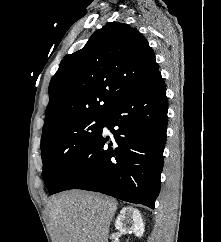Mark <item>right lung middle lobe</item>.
Listing matches in <instances>:
<instances>
[{"label":"right lung middle lobe","instance_id":"obj_1","mask_svg":"<svg viewBox=\"0 0 221 242\" xmlns=\"http://www.w3.org/2000/svg\"><path fill=\"white\" fill-rule=\"evenodd\" d=\"M103 120V115L83 116L42 135V176L49 192L71 163L100 133Z\"/></svg>","mask_w":221,"mask_h":242}]
</instances>
